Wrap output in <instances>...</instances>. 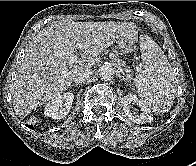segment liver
Segmentation results:
<instances>
[{
	"mask_svg": "<svg viewBox=\"0 0 196 166\" xmlns=\"http://www.w3.org/2000/svg\"><path fill=\"white\" fill-rule=\"evenodd\" d=\"M128 32H135L133 23L111 21L58 22L41 30L26 48L14 79L16 115L23 118L66 91L76 72L90 69L94 58ZM78 50L81 57L73 59Z\"/></svg>",
	"mask_w": 196,
	"mask_h": 166,
	"instance_id": "liver-1",
	"label": "liver"
}]
</instances>
